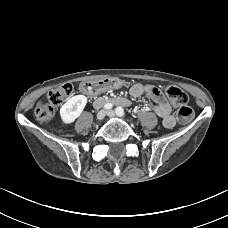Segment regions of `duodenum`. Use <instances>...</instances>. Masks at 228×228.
I'll list each match as a JSON object with an SVG mask.
<instances>
[{
    "label": "duodenum",
    "mask_w": 228,
    "mask_h": 228,
    "mask_svg": "<svg viewBox=\"0 0 228 228\" xmlns=\"http://www.w3.org/2000/svg\"><path fill=\"white\" fill-rule=\"evenodd\" d=\"M105 101H107V99H104V98H98L96 101H95V104L96 105H101L103 104ZM111 102H113L115 105L117 106H126L129 104V101L126 99V98H123V97H117V98H113V99H110Z\"/></svg>",
    "instance_id": "410a0bca"
}]
</instances>
